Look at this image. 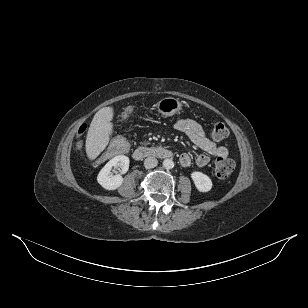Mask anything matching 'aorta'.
I'll return each mask as SVG.
<instances>
[{"label":"aorta","mask_w":308,"mask_h":308,"mask_svg":"<svg viewBox=\"0 0 308 308\" xmlns=\"http://www.w3.org/2000/svg\"><path fill=\"white\" fill-rule=\"evenodd\" d=\"M163 167L165 169H172L174 167V162L172 159H165L163 161Z\"/></svg>","instance_id":"obj_1"}]
</instances>
